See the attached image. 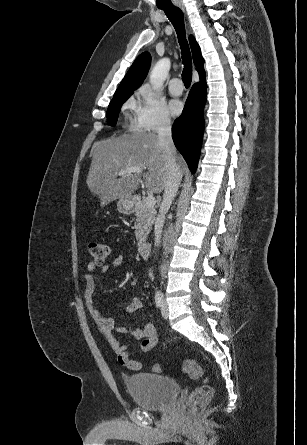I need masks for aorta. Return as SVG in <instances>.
I'll use <instances>...</instances> for the list:
<instances>
[{"mask_svg": "<svg viewBox=\"0 0 307 445\" xmlns=\"http://www.w3.org/2000/svg\"><path fill=\"white\" fill-rule=\"evenodd\" d=\"M171 68V60L164 56V58H160L158 62H156L154 68L151 70L149 82L154 88V90H158L164 84V80Z\"/></svg>", "mask_w": 307, "mask_h": 445, "instance_id": "1", "label": "aorta"}]
</instances>
